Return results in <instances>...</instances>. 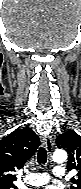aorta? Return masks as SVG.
I'll list each match as a JSON object with an SVG mask.
<instances>
[{
	"label": "aorta",
	"mask_w": 81,
	"mask_h": 189,
	"mask_svg": "<svg viewBox=\"0 0 81 189\" xmlns=\"http://www.w3.org/2000/svg\"><path fill=\"white\" fill-rule=\"evenodd\" d=\"M52 158L56 163H63L67 160V152L62 149L55 150Z\"/></svg>",
	"instance_id": "1"
}]
</instances>
